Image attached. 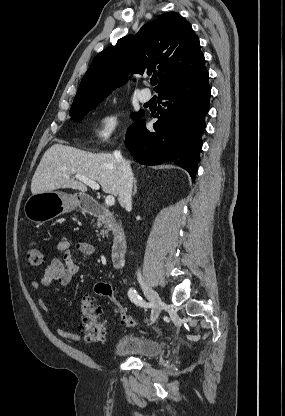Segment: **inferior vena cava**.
Here are the masks:
<instances>
[{"instance_id": "602c4592", "label": "inferior vena cava", "mask_w": 285, "mask_h": 416, "mask_svg": "<svg viewBox=\"0 0 285 416\" xmlns=\"http://www.w3.org/2000/svg\"><path fill=\"white\" fill-rule=\"evenodd\" d=\"M113 156L118 164V170L121 174L120 192H119V204L122 208H127L131 204L133 174L130 168V164L124 160L121 156V152L115 150Z\"/></svg>"}]
</instances>
